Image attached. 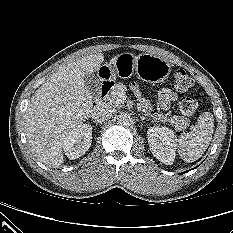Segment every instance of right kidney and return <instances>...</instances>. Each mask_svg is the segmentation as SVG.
Wrapping results in <instances>:
<instances>
[{
  "instance_id": "obj_1",
  "label": "right kidney",
  "mask_w": 233,
  "mask_h": 233,
  "mask_svg": "<svg viewBox=\"0 0 233 233\" xmlns=\"http://www.w3.org/2000/svg\"><path fill=\"white\" fill-rule=\"evenodd\" d=\"M92 127L89 124L77 125L64 139L63 150L71 160L84 155L90 148Z\"/></svg>"
}]
</instances>
